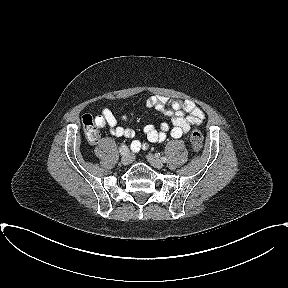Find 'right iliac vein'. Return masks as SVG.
<instances>
[{"instance_id": "right-iliac-vein-1", "label": "right iliac vein", "mask_w": 288, "mask_h": 288, "mask_svg": "<svg viewBox=\"0 0 288 288\" xmlns=\"http://www.w3.org/2000/svg\"><path fill=\"white\" fill-rule=\"evenodd\" d=\"M133 161L132 155L129 153V156L127 158L121 157V163L123 165H129Z\"/></svg>"}]
</instances>
